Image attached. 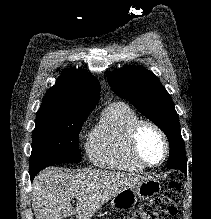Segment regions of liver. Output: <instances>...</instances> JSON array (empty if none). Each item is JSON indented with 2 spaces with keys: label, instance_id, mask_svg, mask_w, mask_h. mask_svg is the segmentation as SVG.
<instances>
[{
  "label": "liver",
  "instance_id": "liver-1",
  "mask_svg": "<svg viewBox=\"0 0 211 219\" xmlns=\"http://www.w3.org/2000/svg\"><path fill=\"white\" fill-rule=\"evenodd\" d=\"M147 176L100 170L66 172L49 168L33 181L32 207L37 219H91L96 211L122 190L136 186ZM76 198V208L71 206Z\"/></svg>",
  "mask_w": 211,
  "mask_h": 219
}]
</instances>
